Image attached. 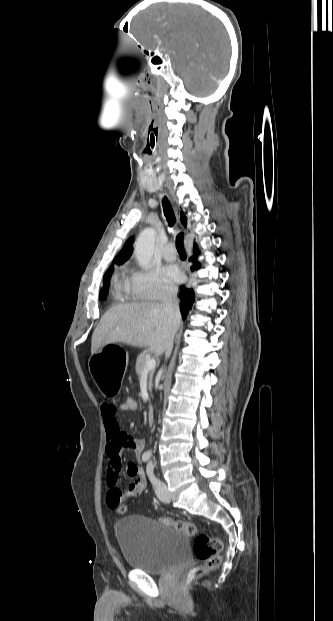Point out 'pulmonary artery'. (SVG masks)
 I'll return each mask as SVG.
<instances>
[{"mask_svg": "<svg viewBox=\"0 0 333 621\" xmlns=\"http://www.w3.org/2000/svg\"><path fill=\"white\" fill-rule=\"evenodd\" d=\"M163 257L168 261L176 259V250L172 243H169L165 246L163 250Z\"/></svg>", "mask_w": 333, "mask_h": 621, "instance_id": "e3ab8cb5", "label": "pulmonary artery"}]
</instances>
